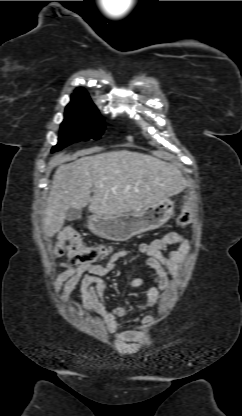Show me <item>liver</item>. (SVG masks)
Here are the masks:
<instances>
[{
	"instance_id": "liver-1",
	"label": "liver",
	"mask_w": 242,
	"mask_h": 416,
	"mask_svg": "<svg viewBox=\"0 0 242 416\" xmlns=\"http://www.w3.org/2000/svg\"><path fill=\"white\" fill-rule=\"evenodd\" d=\"M186 185L177 166L147 154L119 150L83 156L56 169L42 230L45 237H53L69 208L88 206L94 215L136 213L177 195Z\"/></svg>"
}]
</instances>
